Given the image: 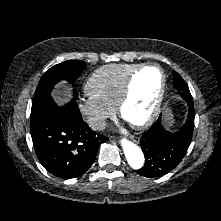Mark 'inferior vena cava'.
<instances>
[{
    "label": "inferior vena cava",
    "mask_w": 221,
    "mask_h": 221,
    "mask_svg": "<svg viewBox=\"0 0 221 221\" xmlns=\"http://www.w3.org/2000/svg\"><path fill=\"white\" fill-rule=\"evenodd\" d=\"M87 123L91 129L97 130V131L104 130L107 125L105 119L101 117H96V116L88 117Z\"/></svg>",
    "instance_id": "obj_1"
}]
</instances>
